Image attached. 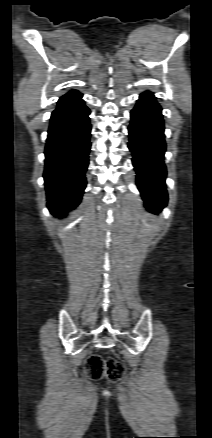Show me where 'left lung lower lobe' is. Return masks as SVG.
Listing matches in <instances>:
<instances>
[{
    "label": "left lung lower lobe",
    "mask_w": 212,
    "mask_h": 438,
    "mask_svg": "<svg viewBox=\"0 0 212 438\" xmlns=\"http://www.w3.org/2000/svg\"><path fill=\"white\" fill-rule=\"evenodd\" d=\"M161 107L151 92L140 95L131 111L129 149L137 172V186L147 208L161 211L168 196L165 187L166 167L163 162L166 144Z\"/></svg>",
    "instance_id": "1"
}]
</instances>
